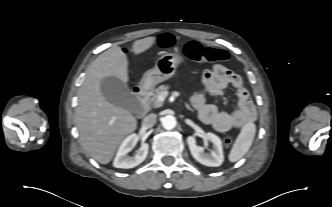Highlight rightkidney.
<instances>
[{
	"instance_id": "1",
	"label": "right kidney",
	"mask_w": 332,
	"mask_h": 207,
	"mask_svg": "<svg viewBox=\"0 0 332 207\" xmlns=\"http://www.w3.org/2000/svg\"><path fill=\"white\" fill-rule=\"evenodd\" d=\"M138 139V135L133 133L122 142L113 162L114 167L124 169L134 168L146 159L149 149L147 143L141 145L135 156L130 157L127 155L136 145Z\"/></svg>"
}]
</instances>
